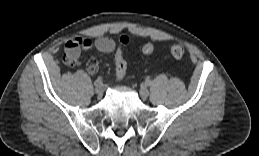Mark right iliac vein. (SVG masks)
I'll use <instances>...</instances> for the list:
<instances>
[{
	"mask_svg": "<svg viewBox=\"0 0 259 156\" xmlns=\"http://www.w3.org/2000/svg\"><path fill=\"white\" fill-rule=\"evenodd\" d=\"M95 92L98 96H102L104 93V87L103 85H100L98 87L95 88Z\"/></svg>",
	"mask_w": 259,
	"mask_h": 156,
	"instance_id": "right-iliac-vein-1",
	"label": "right iliac vein"
}]
</instances>
